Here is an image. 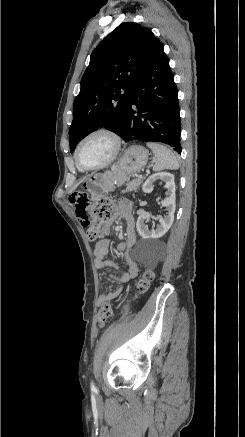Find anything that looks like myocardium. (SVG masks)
I'll return each mask as SVG.
<instances>
[{
	"instance_id": "f54148a6",
	"label": "myocardium",
	"mask_w": 245,
	"mask_h": 437,
	"mask_svg": "<svg viewBox=\"0 0 245 437\" xmlns=\"http://www.w3.org/2000/svg\"><path fill=\"white\" fill-rule=\"evenodd\" d=\"M95 135H105L108 136L112 141H113V152L110 155V157L105 160L104 162L97 164V165H93V166H87L84 165L79 158V151L80 148L82 146V144L89 138L95 136ZM122 146H123V140L122 137L120 136V134L115 131L112 128L109 127H98L95 128L91 131H89L88 133H86L77 143L76 147H75V151H74V157H75V161L78 167H80L83 170H97V169H102L107 167L108 165H110L111 163H113L119 156L121 150H122Z\"/></svg>"
}]
</instances>
